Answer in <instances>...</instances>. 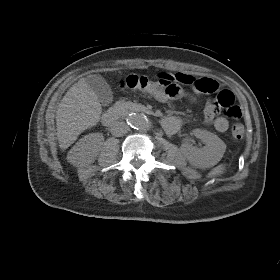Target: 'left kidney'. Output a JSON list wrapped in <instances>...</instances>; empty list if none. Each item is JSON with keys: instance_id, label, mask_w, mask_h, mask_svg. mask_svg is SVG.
I'll return each mask as SVG.
<instances>
[{"instance_id": "5707ae66", "label": "left kidney", "mask_w": 280, "mask_h": 280, "mask_svg": "<svg viewBox=\"0 0 280 280\" xmlns=\"http://www.w3.org/2000/svg\"><path fill=\"white\" fill-rule=\"evenodd\" d=\"M193 134L201 139L206 146L199 149L188 142L182 144L181 150L192 165L201 166L222 156L226 145L217 135L200 129L193 130Z\"/></svg>"}]
</instances>
